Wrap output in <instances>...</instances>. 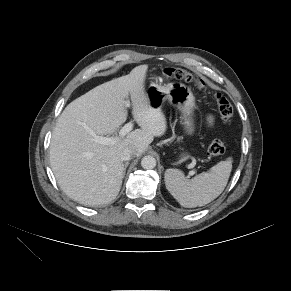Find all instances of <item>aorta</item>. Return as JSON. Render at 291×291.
Instances as JSON below:
<instances>
[{
    "mask_svg": "<svg viewBox=\"0 0 291 291\" xmlns=\"http://www.w3.org/2000/svg\"><path fill=\"white\" fill-rule=\"evenodd\" d=\"M141 166L144 169H153L156 166V159L153 156H144L141 160Z\"/></svg>",
    "mask_w": 291,
    "mask_h": 291,
    "instance_id": "762f6f07",
    "label": "aorta"
}]
</instances>
